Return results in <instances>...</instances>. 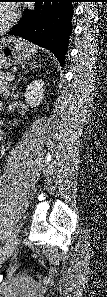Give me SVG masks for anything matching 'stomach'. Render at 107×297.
<instances>
[{
    "label": "stomach",
    "instance_id": "obj_1",
    "mask_svg": "<svg viewBox=\"0 0 107 297\" xmlns=\"http://www.w3.org/2000/svg\"><path fill=\"white\" fill-rule=\"evenodd\" d=\"M33 48L20 39L3 40L0 45V65L9 67L31 57Z\"/></svg>",
    "mask_w": 107,
    "mask_h": 297
}]
</instances>
